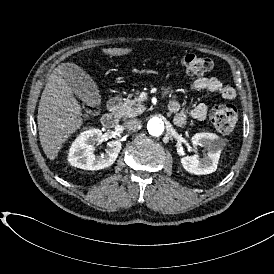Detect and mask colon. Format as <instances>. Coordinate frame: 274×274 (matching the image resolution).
Returning <instances> with one entry per match:
<instances>
[{"mask_svg": "<svg viewBox=\"0 0 274 274\" xmlns=\"http://www.w3.org/2000/svg\"><path fill=\"white\" fill-rule=\"evenodd\" d=\"M175 65L181 67L189 74H203L210 72L213 68L212 60L203 55L194 53L184 54L175 58ZM95 105L87 107L88 112L94 110ZM237 111L231 104L217 106L211 113V122L220 132H231L237 123Z\"/></svg>", "mask_w": 274, "mask_h": 274, "instance_id": "5ec220e1", "label": "colon"}]
</instances>
